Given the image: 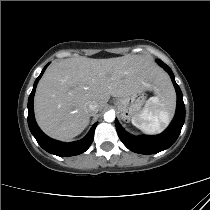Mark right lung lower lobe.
Listing matches in <instances>:
<instances>
[{
	"instance_id": "98d812e1",
	"label": "right lung lower lobe",
	"mask_w": 210,
	"mask_h": 210,
	"mask_svg": "<svg viewBox=\"0 0 210 210\" xmlns=\"http://www.w3.org/2000/svg\"><path fill=\"white\" fill-rule=\"evenodd\" d=\"M48 64L44 67L41 74L36 79L33 90L29 96L28 100V125L32 135L37 140L38 144L47 152L60 156V157H67V156H74L85 152L91 145L94 137V131L96 128L97 123H95L92 128L90 129L89 133L86 135L85 138L82 140L71 142V143H63L56 140H53L47 137L37 126L34 118L33 112V98L35 89L39 79L41 78L42 74L44 73L45 69L47 68Z\"/></svg>"
}]
</instances>
